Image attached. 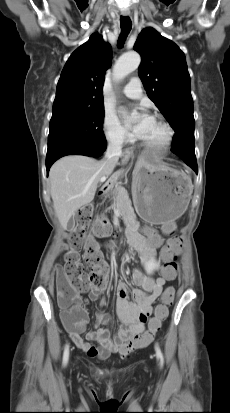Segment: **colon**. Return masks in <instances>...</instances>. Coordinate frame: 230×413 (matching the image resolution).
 <instances>
[{
  "label": "colon",
  "instance_id": "1",
  "mask_svg": "<svg viewBox=\"0 0 230 413\" xmlns=\"http://www.w3.org/2000/svg\"><path fill=\"white\" fill-rule=\"evenodd\" d=\"M93 216L94 208L92 205H86L78 211L76 226L67 240L70 250L65 256L64 265L57 269L58 302L64 311H73L76 318L81 316V310L76 304V292L102 287L108 272V265L104 260L100 245L87 232L92 227L96 233H100L105 229L107 222L104 218H99L93 223ZM181 245L180 237H172L168 240L163 252L164 268L161 269V276L166 277L168 281L175 280L177 276L178 263L176 259ZM81 251H83L85 262L90 267L89 271H86L81 260ZM173 296L172 291L163 294L161 303L156 307L155 314L149 321L147 331L139 339L130 341L125 346L126 355L137 348L148 345L153 340L162 321L168 315V305L172 303Z\"/></svg>",
  "mask_w": 230,
  "mask_h": 413
}]
</instances>
